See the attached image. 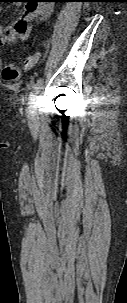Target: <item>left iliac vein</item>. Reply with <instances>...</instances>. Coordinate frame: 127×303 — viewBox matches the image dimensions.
I'll return each mask as SVG.
<instances>
[{
	"instance_id": "obj_1",
	"label": "left iliac vein",
	"mask_w": 127,
	"mask_h": 303,
	"mask_svg": "<svg viewBox=\"0 0 127 303\" xmlns=\"http://www.w3.org/2000/svg\"><path fill=\"white\" fill-rule=\"evenodd\" d=\"M27 113H28V116L29 117H33V105H32V102H29L28 103V107H27Z\"/></svg>"
}]
</instances>
